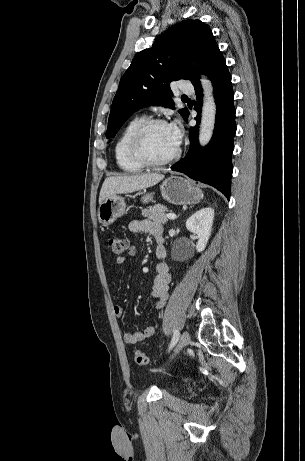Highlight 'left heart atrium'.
I'll return each instance as SVG.
<instances>
[{"mask_svg": "<svg viewBox=\"0 0 305 461\" xmlns=\"http://www.w3.org/2000/svg\"><path fill=\"white\" fill-rule=\"evenodd\" d=\"M169 133L172 141L176 146H179L182 139V131L177 122L171 123L168 125Z\"/></svg>", "mask_w": 305, "mask_h": 461, "instance_id": "39dd6f15", "label": "left heart atrium"}]
</instances>
